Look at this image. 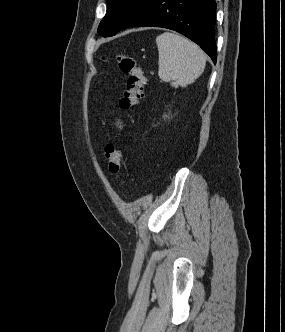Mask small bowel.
I'll list each match as a JSON object with an SVG mask.
<instances>
[{
  "instance_id": "1",
  "label": "small bowel",
  "mask_w": 285,
  "mask_h": 332,
  "mask_svg": "<svg viewBox=\"0 0 285 332\" xmlns=\"http://www.w3.org/2000/svg\"><path fill=\"white\" fill-rule=\"evenodd\" d=\"M118 126H119L121 129H122V127H123L121 123H118Z\"/></svg>"
}]
</instances>
